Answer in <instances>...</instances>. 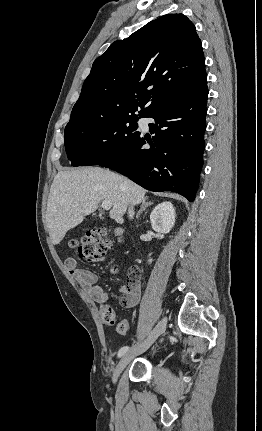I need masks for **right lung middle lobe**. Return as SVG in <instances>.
<instances>
[{"mask_svg":"<svg viewBox=\"0 0 262 431\" xmlns=\"http://www.w3.org/2000/svg\"><path fill=\"white\" fill-rule=\"evenodd\" d=\"M138 116L85 121L65 128V149L71 165H98L124 149L139 132Z\"/></svg>","mask_w":262,"mask_h":431,"instance_id":"dd1d6c3e","label":"right lung middle lobe"}]
</instances>
